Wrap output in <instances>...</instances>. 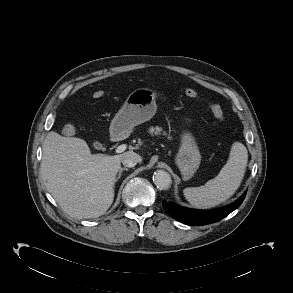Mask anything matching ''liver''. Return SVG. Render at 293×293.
<instances>
[{
	"instance_id": "obj_1",
	"label": "liver",
	"mask_w": 293,
	"mask_h": 293,
	"mask_svg": "<svg viewBox=\"0 0 293 293\" xmlns=\"http://www.w3.org/2000/svg\"><path fill=\"white\" fill-rule=\"evenodd\" d=\"M42 150L41 176L62 210L76 219L105 214L113 203L116 175L127 152L92 154L83 139L54 131L47 134Z\"/></svg>"
}]
</instances>
